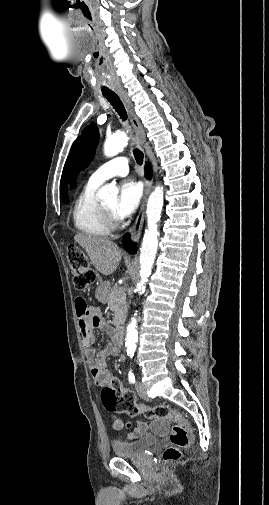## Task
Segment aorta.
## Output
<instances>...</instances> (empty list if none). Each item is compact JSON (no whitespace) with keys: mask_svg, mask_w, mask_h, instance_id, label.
<instances>
[{"mask_svg":"<svg viewBox=\"0 0 269 505\" xmlns=\"http://www.w3.org/2000/svg\"><path fill=\"white\" fill-rule=\"evenodd\" d=\"M128 135L124 131H118L109 136L104 143V154L113 157L121 152L128 144ZM118 188L115 185L107 184L98 191V197L102 201H113L117 199ZM164 202L163 187L158 185L150 194L147 203V230L145 231L140 249V281L137 283L136 291L141 293L151 275L152 267L158 248V227ZM136 314L131 318L127 327L125 347L128 352H134L137 341V319Z\"/></svg>","mask_w":269,"mask_h":505,"instance_id":"1","label":"aorta"}]
</instances>
